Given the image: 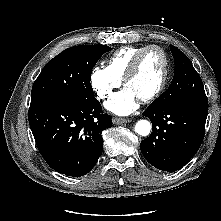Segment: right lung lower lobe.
<instances>
[{"label": "right lung lower lobe", "mask_w": 221, "mask_h": 221, "mask_svg": "<svg viewBox=\"0 0 221 221\" xmlns=\"http://www.w3.org/2000/svg\"><path fill=\"white\" fill-rule=\"evenodd\" d=\"M29 124L40 154L59 173L80 177L92 170L103 150L102 131L112 126L95 97L31 104Z\"/></svg>", "instance_id": "obj_1"}]
</instances>
